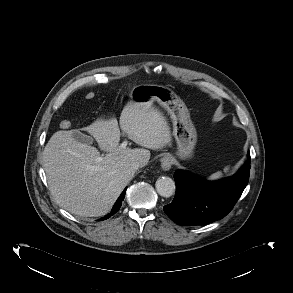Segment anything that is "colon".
Here are the masks:
<instances>
[{"label":"colon","mask_w":293,"mask_h":293,"mask_svg":"<svg viewBox=\"0 0 293 293\" xmlns=\"http://www.w3.org/2000/svg\"><path fill=\"white\" fill-rule=\"evenodd\" d=\"M94 97H95L94 92H88V93L86 94V96H85V98H86L87 100H92V99H94ZM60 126H61V128H63V129H68V128L71 127V122L68 121V120H64V121L61 122Z\"/></svg>","instance_id":"5ec220e1"}]
</instances>
